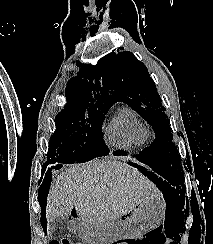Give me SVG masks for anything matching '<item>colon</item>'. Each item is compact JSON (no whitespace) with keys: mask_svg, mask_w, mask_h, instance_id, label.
Segmentation results:
<instances>
[{"mask_svg":"<svg viewBox=\"0 0 213 244\" xmlns=\"http://www.w3.org/2000/svg\"><path fill=\"white\" fill-rule=\"evenodd\" d=\"M49 244H83L81 242H72L70 239L64 238L62 240L51 241Z\"/></svg>","mask_w":213,"mask_h":244,"instance_id":"colon-1","label":"colon"}]
</instances>
